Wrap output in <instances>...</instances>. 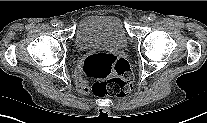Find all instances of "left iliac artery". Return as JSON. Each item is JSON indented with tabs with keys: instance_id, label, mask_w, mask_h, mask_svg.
<instances>
[{
	"instance_id": "44dca946",
	"label": "left iliac artery",
	"mask_w": 207,
	"mask_h": 123,
	"mask_svg": "<svg viewBox=\"0 0 207 123\" xmlns=\"http://www.w3.org/2000/svg\"><path fill=\"white\" fill-rule=\"evenodd\" d=\"M148 19L150 21H154L156 19V15L155 14H150L149 17H148Z\"/></svg>"
}]
</instances>
